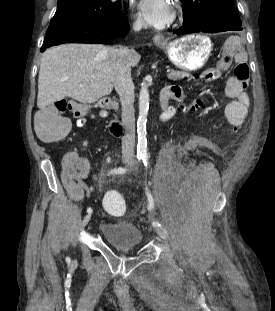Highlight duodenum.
Returning a JSON list of instances; mask_svg holds the SVG:
<instances>
[{"instance_id":"duodenum-1","label":"duodenum","mask_w":275,"mask_h":311,"mask_svg":"<svg viewBox=\"0 0 275 311\" xmlns=\"http://www.w3.org/2000/svg\"><path fill=\"white\" fill-rule=\"evenodd\" d=\"M161 106H164L168 102L167 97H160ZM115 106L114 101L109 98L103 99L101 101V107L106 109H113ZM109 130L114 136H121L124 130L122 123L119 120L113 119L109 124Z\"/></svg>"}]
</instances>
